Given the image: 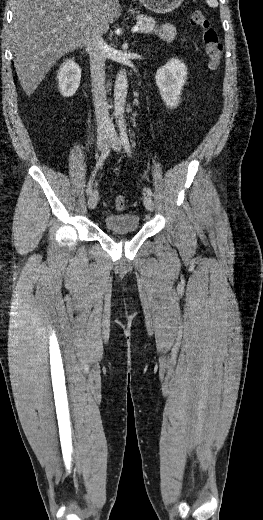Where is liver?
<instances>
[{"label":"liver","mask_w":263,"mask_h":520,"mask_svg":"<svg viewBox=\"0 0 263 520\" xmlns=\"http://www.w3.org/2000/svg\"><path fill=\"white\" fill-rule=\"evenodd\" d=\"M13 12L14 66L29 96L59 58L87 44L94 29L106 32L121 6L118 0H14Z\"/></svg>","instance_id":"6515ba94"}]
</instances>
